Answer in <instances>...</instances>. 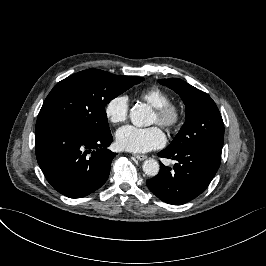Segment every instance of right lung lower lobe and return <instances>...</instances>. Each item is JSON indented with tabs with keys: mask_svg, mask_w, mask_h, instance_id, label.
Returning a JSON list of instances; mask_svg holds the SVG:
<instances>
[{
	"mask_svg": "<svg viewBox=\"0 0 266 266\" xmlns=\"http://www.w3.org/2000/svg\"><path fill=\"white\" fill-rule=\"evenodd\" d=\"M111 132L95 135L66 124L35 133L38 164L51 186L70 198H81L108 179L116 155L107 147Z\"/></svg>",
	"mask_w": 266,
	"mask_h": 266,
	"instance_id": "98d812e1",
	"label": "right lung lower lobe"
}]
</instances>
